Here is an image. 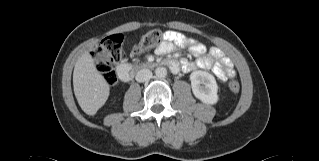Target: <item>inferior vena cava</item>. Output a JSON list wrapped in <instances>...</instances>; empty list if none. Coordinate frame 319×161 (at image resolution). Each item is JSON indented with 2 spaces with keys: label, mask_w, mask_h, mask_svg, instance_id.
Masks as SVG:
<instances>
[{
  "label": "inferior vena cava",
  "mask_w": 319,
  "mask_h": 161,
  "mask_svg": "<svg viewBox=\"0 0 319 161\" xmlns=\"http://www.w3.org/2000/svg\"><path fill=\"white\" fill-rule=\"evenodd\" d=\"M152 77V72L149 69H141L136 74L137 82H145L148 81Z\"/></svg>",
  "instance_id": "inferior-vena-cava-1"
}]
</instances>
